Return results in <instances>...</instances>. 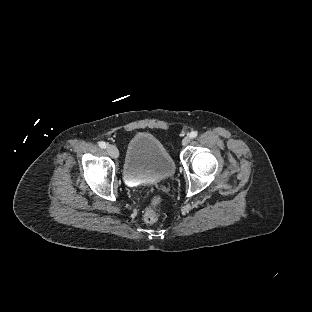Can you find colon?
Segmentation results:
<instances>
[{"label":"colon","instance_id":"colon-1","mask_svg":"<svg viewBox=\"0 0 312 312\" xmlns=\"http://www.w3.org/2000/svg\"><path fill=\"white\" fill-rule=\"evenodd\" d=\"M160 200L161 197L159 195L155 196L151 201V204L146 208L143 216L146 223L154 224L158 221V213L155 208L158 206Z\"/></svg>","mask_w":312,"mask_h":312}]
</instances>
